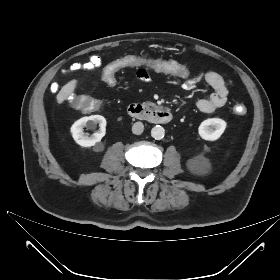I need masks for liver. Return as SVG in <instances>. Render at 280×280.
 I'll use <instances>...</instances> for the list:
<instances>
[{"mask_svg": "<svg viewBox=\"0 0 280 280\" xmlns=\"http://www.w3.org/2000/svg\"><path fill=\"white\" fill-rule=\"evenodd\" d=\"M77 86V80H71L66 85H64L58 93L57 102L59 104L63 103L70 95L73 94Z\"/></svg>", "mask_w": 280, "mask_h": 280, "instance_id": "obj_1", "label": "liver"}]
</instances>
